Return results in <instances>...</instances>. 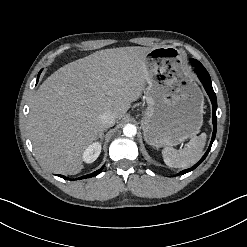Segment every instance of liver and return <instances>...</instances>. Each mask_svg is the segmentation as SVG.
<instances>
[{
  "label": "liver",
  "mask_w": 247,
  "mask_h": 247,
  "mask_svg": "<svg viewBox=\"0 0 247 247\" xmlns=\"http://www.w3.org/2000/svg\"><path fill=\"white\" fill-rule=\"evenodd\" d=\"M150 48L131 46L96 51L59 68L33 95L31 141L40 163L57 174L83 169V153L99 137V115L124 117L147 84Z\"/></svg>",
  "instance_id": "liver-1"
}]
</instances>
